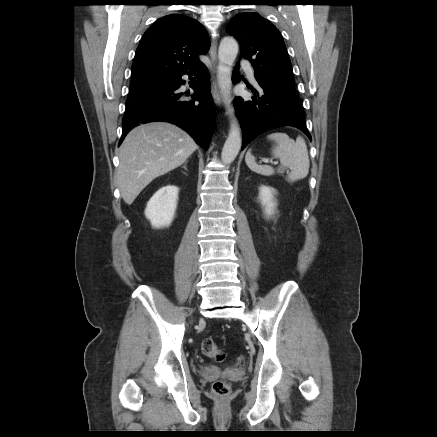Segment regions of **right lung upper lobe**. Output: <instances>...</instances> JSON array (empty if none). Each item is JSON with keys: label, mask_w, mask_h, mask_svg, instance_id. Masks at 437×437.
Segmentation results:
<instances>
[{"label": "right lung upper lobe", "mask_w": 437, "mask_h": 437, "mask_svg": "<svg viewBox=\"0 0 437 437\" xmlns=\"http://www.w3.org/2000/svg\"><path fill=\"white\" fill-rule=\"evenodd\" d=\"M210 40L195 19L170 14L156 20L143 35L132 64V81L170 79L201 63Z\"/></svg>", "instance_id": "1"}]
</instances>
